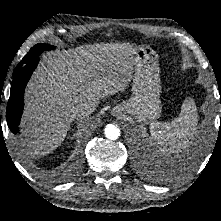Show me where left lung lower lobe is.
<instances>
[{"mask_svg":"<svg viewBox=\"0 0 221 221\" xmlns=\"http://www.w3.org/2000/svg\"><path fill=\"white\" fill-rule=\"evenodd\" d=\"M184 162H185V161H184V159L182 158L179 162H177V163L175 164V167H177V169L180 168Z\"/></svg>","mask_w":221,"mask_h":221,"instance_id":"obj_1","label":"left lung lower lobe"}]
</instances>
